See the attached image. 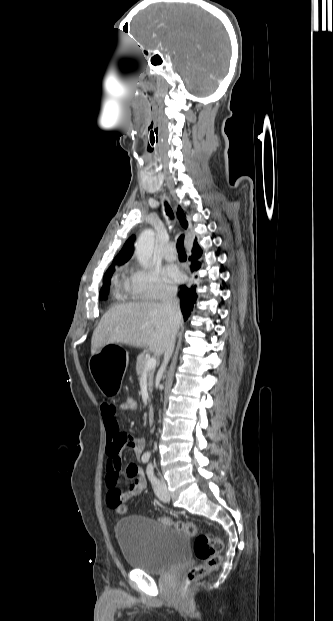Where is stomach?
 Listing matches in <instances>:
<instances>
[{
	"label": "stomach",
	"instance_id": "0dacf381",
	"mask_svg": "<svg viewBox=\"0 0 333 621\" xmlns=\"http://www.w3.org/2000/svg\"><path fill=\"white\" fill-rule=\"evenodd\" d=\"M92 379L102 396H117L122 389V379L128 365L124 345L118 340L105 341L101 350L91 356Z\"/></svg>",
	"mask_w": 333,
	"mask_h": 621
}]
</instances>
